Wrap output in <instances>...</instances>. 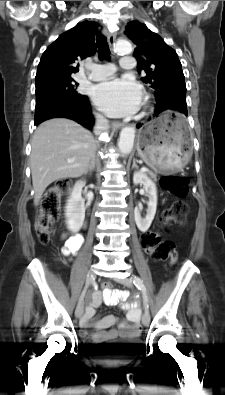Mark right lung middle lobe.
Wrapping results in <instances>:
<instances>
[{
	"label": "right lung middle lobe",
	"mask_w": 225,
	"mask_h": 395,
	"mask_svg": "<svg viewBox=\"0 0 225 395\" xmlns=\"http://www.w3.org/2000/svg\"><path fill=\"white\" fill-rule=\"evenodd\" d=\"M78 85V83L74 82V79L59 80L37 85L35 91V109H39L59 98L82 97L83 95L76 91Z\"/></svg>",
	"instance_id": "1"
}]
</instances>
